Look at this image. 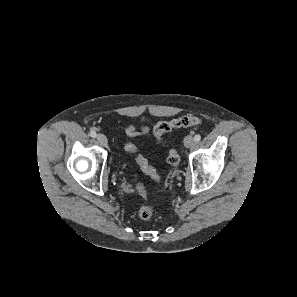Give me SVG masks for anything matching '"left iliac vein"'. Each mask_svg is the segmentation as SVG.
I'll list each match as a JSON object with an SVG mask.
<instances>
[{"instance_id":"1","label":"left iliac vein","mask_w":297,"mask_h":297,"mask_svg":"<svg viewBox=\"0 0 297 297\" xmlns=\"http://www.w3.org/2000/svg\"><path fill=\"white\" fill-rule=\"evenodd\" d=\"M194 142H195L194 138L191 135H188L184 139V146L186 148H190V147H192L194 145Z\"/></svg>"}]
</instances>
